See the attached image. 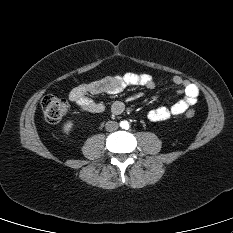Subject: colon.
Here are the masks:
<instances>
[{
  "label": "colon",
  "instance_id": "colon-1",
  "mask_svg": "<svg viewBox=\"0 0 233 233\" xmlns=\"http://www.w3.org/2000/svg\"><path fill=\"white\" fill-rule=\"evenodd\" d=\"M41 107L45 119L50 123L59 122L68 112V103L62 98L47 95L41 100ZM196 114L194 109H190L185 113L187 118H192Z\"/></svg>",
  "mask_w": 233,
  "mask_h": 233
}]
</instances>
